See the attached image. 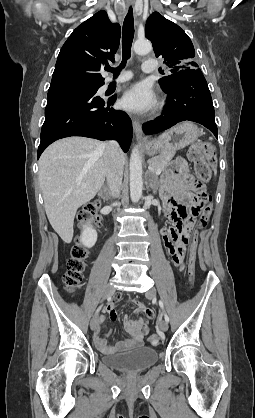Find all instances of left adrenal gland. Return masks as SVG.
<instances>
[{
	"instance_id": "obj_1",
	"label": "left adrenal gland",
	"mask_w": 255,
	"mask_h": 418,
	"mask_svg": "<svg viewBox=\"0 0 255 418\" xmlns=\"http://www.w3.org/2000/svg\"><path fill=\"white\" fill-rule=\"evenodd\" d=\"M150 187L152 188L153 192L156 193L157 188H158L156 185V180H153V179L150 180Z\"/></svg>"
}]
</instances>
